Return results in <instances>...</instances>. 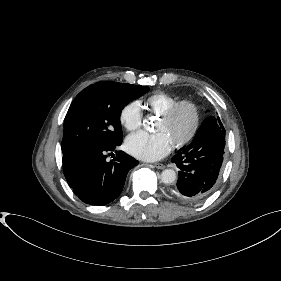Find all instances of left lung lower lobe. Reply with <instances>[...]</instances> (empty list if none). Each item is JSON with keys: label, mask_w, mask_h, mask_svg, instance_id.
<instances>
[{"label": "left lung lower lobe", "mask_w": 281, "mask_h": 281, "mask_svg": "<svg viewBox=\"0 0 281 281\" xmlns=\"http://www.w3.org/2000/svg\"><path fill=\"white\" fill-rule=\"evenodd\" d=\"M225 129L218 118H206L193 141L171 159L180 169L174 194L186 203H198L215 189L223 162Z\"/></svg>", "instance_id": "left-lung-lower-lobe-1"}]
</instances>
